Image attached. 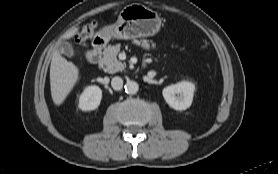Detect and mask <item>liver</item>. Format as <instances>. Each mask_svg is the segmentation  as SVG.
Masks as SVG:
<instances>
[{
    "mask_svg": "<svg viewBox=\"0 0 278 174\" xmlns=\"http://www.w3.org/2000/svg\"><path fill=\"white\" fill-rule=\"evenodd\" d=\"M79 28L74 27L64 35L65 39L72 38ZM79 79V69L72 62L67 61L56 50L50 65V87L53 102L60 106L71 92Z\"/></svg>",
    "mask_w": 278,
    "mask_h": 174,
    "instance_id": "liver-1",
    "label": "liver"
}]
</instances>
